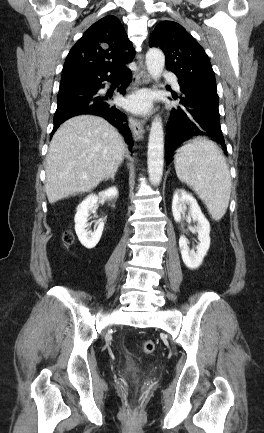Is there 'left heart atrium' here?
<instances>
[{
    "label": "left heart atrium",
    "instance_id": "obj_1",
    "mask_svg": "<svg viewBox=\"0 0 264 433\" xmlns=\"http://www.w3.org/2000/svg\"><path fill=\"white\" fill-rule=\"evenodd\" d=\"M125 104L130 110L146 112L150 107L151 98L149 94L142 92L130 97Z\"/></svg>",
    "mask_w": 264,
    "mask_h": 433
}]
</instances>
